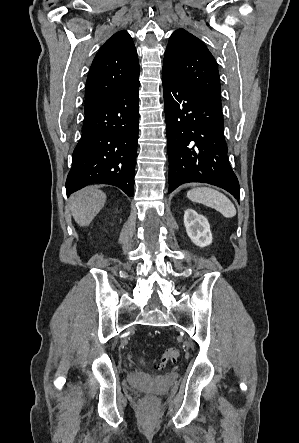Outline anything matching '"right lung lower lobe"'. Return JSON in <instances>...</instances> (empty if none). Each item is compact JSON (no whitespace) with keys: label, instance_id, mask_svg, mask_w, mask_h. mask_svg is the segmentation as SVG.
Returning a JSON list of instances; mask_svg holds the SVG:
<instances>
[{"label":"right lung lower lobe","instance_id":"1","mask_svg":"<svg viewBox=\"0 0 299 443\" xmlns=\"http://www.w3.org/2000/svg\"><path fill=\"white\" fill-rule=\"evenodd\" d=\"M139 80L85 111L82 136L74 149L67 176L69 196L93 183L134 193L139 122Z\"/></svg>","mask_w":299,"mask_h":443}]
</instances>
